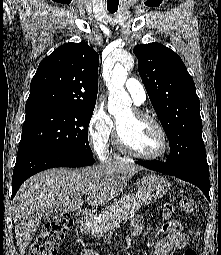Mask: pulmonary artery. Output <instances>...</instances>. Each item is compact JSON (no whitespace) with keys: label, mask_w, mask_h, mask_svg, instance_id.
Listing matches in <instances>:
<instances>
[{"label":"pulmonary artery","mask_w":221,"mask_h":255,"mask_svg":"<svg viewBox=\"0 0 221 255\" xmlns=\"http://www.w3.org/2000/svg\"><path fill=\"white\" fill-rule=\"evenodd\" d=\"M125 88L131 95L136 105H142L146 100V91L144 86L138 80L130 78L125 83Z\"/></svg>","instance_id":"1"}]
</instances>
